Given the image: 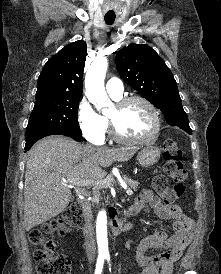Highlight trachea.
Segmentation results:
<instances>
[{
  "label": "trachea",
  "instance_id": "3493384b",
  "mask_svg": "<svg viewBox=\"0 0 221 274\" xmlns=\"http://www.w3.org/2000/svg\"><path fill=\"white\" fill-rule=\"evenodd\" d=\"M104 20H105L106 24L111 25L115 21V17L114 16H105Z\"/></svg>",
  "mask_w": 221,
  "mask_h": 274
}]
</instances>
